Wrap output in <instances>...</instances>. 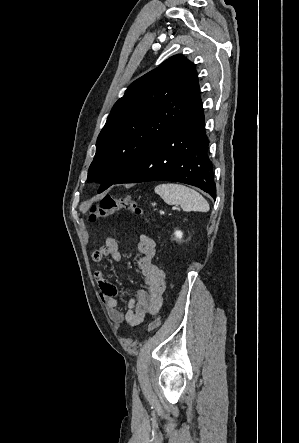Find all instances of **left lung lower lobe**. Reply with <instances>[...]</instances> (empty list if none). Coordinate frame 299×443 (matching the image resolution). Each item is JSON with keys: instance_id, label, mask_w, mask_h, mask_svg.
<instances>
[{"instance_id": "left-lung-lower-lobe-1", "label": "left lung lower lobe", "mask_w": 299, "mask_h": 443, "mask_svg": "<svg viewBox=\"0 0 299 443\" xmlns=\"http://www.w3.org/2000/svg\"><path fill=\"white\" fill-rule=\"evenodd\" d=\"M208 142L200 100L114 184L177 181L199 187L215 199L214 173L207 157Z\"/></svg>"}]
</instances>
